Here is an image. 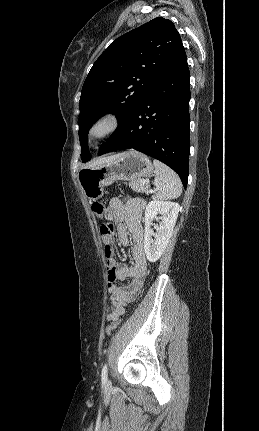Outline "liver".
Listing matches in <instances>:
<instances>
[{"instance_id":"1","label":"liver","mask_w":259,"mask_h":431,"mask_svg":"<svg viewBox=\"0 0 259 431\" xmlns=\"http://www.w3.org/2000/svg\"><path fill=\"white\" fill-rule=\"evenodd\" d=\"M118 156H119V154L108 156V157L97 158L96 160L92 161L90 164L86 165L84 168H86V167H93V166H96V165H100V164H102L104 162L113 160V159H115Z\"/></svg>"}]
</instances>
